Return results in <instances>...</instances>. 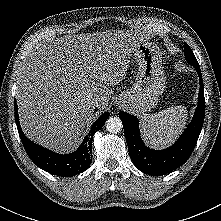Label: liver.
Masks as SVG:
<instances>
[{
    "label": "liver",
    "instance_id": "1",
    "mask_svg": "<svg viewBox=\"0 0 221 221\" xmlns=\"http://www.w3.org/2000/svg\"><path fill=\"white\" fill-rule=\"evenodd\" d=\"M147 36L130 30L64 35L39 44L17 78L16 99L25 135L59 153L72 151L92 117V100L105 110L112 86Z\"/></svg>",
    "mask_w": 221,
    "mask_h": 221
}]
</instances>
